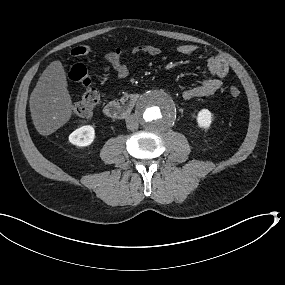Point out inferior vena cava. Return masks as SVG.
Listing matches in <instances>:
<instances>
[{
	"label": "inferior vena cava",
	"instance_id": "602c4592",
	"mask_svg": "<svg viewBox=\"0 0 285 285\" xmlns=\"http://www.w3.org/2000/svg\"><path fill=\"white\" fill-rule=\"evenodd\" d=\"M126 126L127 129L129 130H137L139 127V123H138V117L136 115H130L127 119H126Z\"/></svg>",
	"mask_w": 285,
	"mask_h": 285
}]
</instances>
